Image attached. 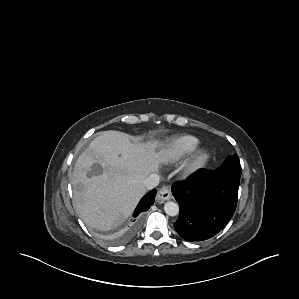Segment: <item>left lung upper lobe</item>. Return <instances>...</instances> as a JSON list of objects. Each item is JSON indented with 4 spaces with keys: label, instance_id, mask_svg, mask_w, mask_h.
Returning <instances> with one entry per match:
<instances>
[{
    "label": "left lung upper lobe",
    "instance_id": "obj_1",
    "mask_svg": "<svg viewBox=\"0 0 299 299\" xmlns=\"http://www.w3.org/2000/svg\"><path fill=\"white\" fill-rule=\"evenodd\" d=\"M216 172L241 176V165L237 154L227 157L223 165L216 170Z\"/></svg>",
    "mask_w": 299,
    "mask_h": 299
}]
</instances>
